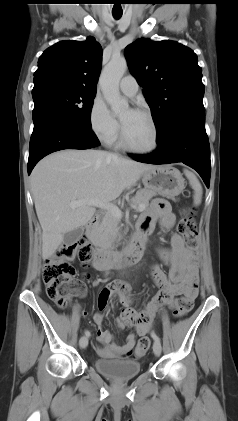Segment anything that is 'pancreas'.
<instances>
[{
    "instance_id": "pancreas-1",
    "label": "pancreas",
    "mask_w": 238,
    "mask_h": 421,
    "mask_svg": "<svg viewBox=\"0 0 238 421\" xmlns=\"http://www.w3.org/2000/svg\"><path fill=\"white\" fill-rule=\"evenodd\" d=\"M156 195L157 192L154 190L142 189L131 199V203L136 207L144 206L146 208L150 199ZM119 223L120 218L115 217L111 213H106L92 232L95 242L102 247H111L112 243L120 237Z\"/></svg>"
}]
</instances>
